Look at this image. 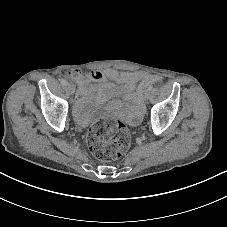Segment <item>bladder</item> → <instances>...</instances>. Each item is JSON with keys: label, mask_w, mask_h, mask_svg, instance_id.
<instances>
[{"label": "bladder", "mask_w": 227, "mask_h": 227, "mask_svg": "<svg viewBox=\"0 0 227 227\" xmlns=\"http://www.w3.org/2000/svg\"><path fill=\"white\" fill-rule=\"evenodd\" d=\"M132 91V88L127 84H114L105 92L109 99H120L127 97Z\"/></svg>", "instance_id": "bladder-1"}]
</instances>
